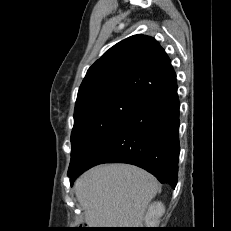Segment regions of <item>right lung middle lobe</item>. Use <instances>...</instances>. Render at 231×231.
<instances>
[{"instance_id":"dd1d6c3e","label":"right lung middle lobe","mask_w":231,"mask_h":231,"mask_svg":"<svg viewBox=\"0 0 231 231\" xmlns=\"http://www.w3.org/2000/svg\"><path fill=\"white\" fill-rule=\"evenodd\" d=\"M143 101L132 94H112L75 110L69 169L77 168L99 143L141 107Z\"/></svg>"}]
</instances>
